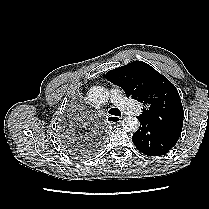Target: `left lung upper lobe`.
<instances>
[{
  "label": "left lung upper lobe",
  "instance_id": "left-lung-upper-lobe-1",
  "mask_svg": "<svg viewBox=\"0 0 209 209\" xmlns=\"http://www.w3.org/2000/svg\"><path fill=\"white\" fill-rule=\"evenodd\" d=\"M106 78L123 88L127 96L143 103L139 119L168 131H182L183 107L175 86L153 67L133 61L106 73Z\"/></svg>",
  "mask_w": 209,
  "mask_h": 209
}]
</instances>
